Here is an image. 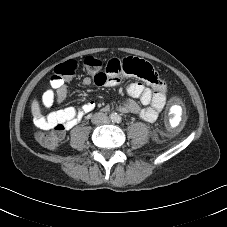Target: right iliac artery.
I'll use <instances>...</instances> for the list:
<instances>
[{
    "instance_id": "1",
    "label": "right iliac artery",
    "mask_w": 227,
    "mask_h": 227,
    "mask_svg": "<svg viewBox=\"0 0 227 227\" xmlns=\"http://www.w3.org/2000/svg\"><path fill=\"white\" fill-rule=\"evenodd\" d=\"M110 118H111L112 120H115V119H116V115H115V114H111V115H110Z\"/></svg>"
}]
</instances>
